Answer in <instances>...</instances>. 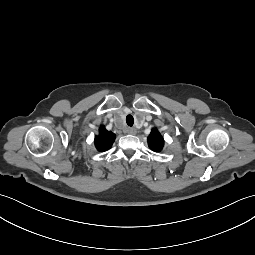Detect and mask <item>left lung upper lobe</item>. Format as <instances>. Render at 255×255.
Masks as SVG:
<instances>
[{"instance_id":"5c2ea615","label":"left lung upper lobe","mask_w":255,"mask_h":255,"mask_svg":"<svg viewBox=\"0 0 255 255\" xmlns=\"http://www.w3.org/2000/svg\"><path fill=\"white\" fill-rule=\"evenodd\" d=\"M148 145L153 151H161L164 145V140L156 128L152 129L148 137Z\"/></svg>"}]
</instances>
